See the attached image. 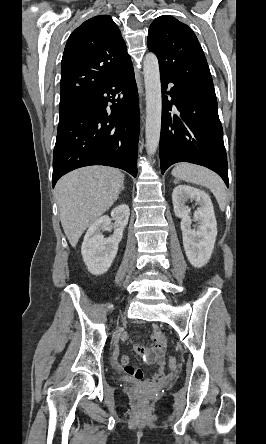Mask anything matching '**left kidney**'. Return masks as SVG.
Segmentation results:
<instances>
[{
    "mask_svg": "<svg viewBox=\"0 0 266 444\" xmlns=\"http://www.w3.org/2000/svg\"><path fill=\"white\" fill-rule=\"evenodd\" d=\"M189 200H194L200 205L193 217V220L199 224L196 229L191 228L190 211L186 206ZM172 202L175 215L181 218L186 256L194 267H203L211 258L217 236V222L212 201L205 191L187 185H178L173 190Z\"/></svg>",
    "mask_w": 266,
    "mask_h": 444,
    "instance_id": "obj_1",
    "label": "left kidney"
}]
</instances>
